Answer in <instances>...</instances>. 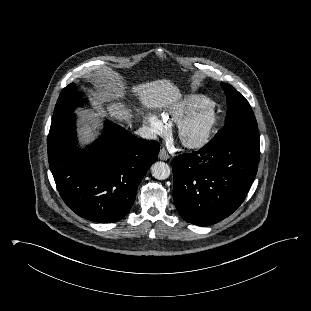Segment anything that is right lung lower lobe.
Masks as SVG:
<instances>
[{"mask_svg": "<svg viewBox=\"0 0 311 311\" xmlns=\"http://www.w3.org/2000/svg\"><path fill=\"white\" fill-rule=\"evenodd\" d=\"M75 120L73 112L67 113L50 127L48 159L57 190L79 216L100 223L119 221L131 209L160 145L107 122L102 136L80 150Z\"/></svg>", "mask_w": 311, "mask_h": 311, "instance_id": "obj_1", "label": "right lung lower lobe"}]
</instances>
